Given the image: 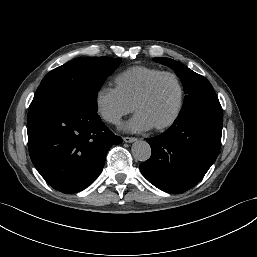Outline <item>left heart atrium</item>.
I'll return each mask as SVG.
<instances>
[{"label":"left heart atrium","instance_id":"obj_1","mask_svg":"<svg viewBox=\"0 0 257 257\" xmlns=\"http://www.w3.org/2000/svg\"><path fill=\"white\" fill-rule=\"evenodd\" d=\"M153 124L141 113L136 112L134 117L130 119L123 128L131 132H139L151 129Z\"/></svg>","mask_w":257,"mask_h":257}]
</instances>
